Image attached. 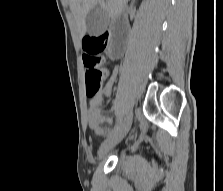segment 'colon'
<instances>
[{"label":"colon","mask_w":223,"mask_h":191,"mask_svg":"<svg viewBox=\"0 0 223 191\" xmlns=\"http://www.w3.org/2000/svg\"><path fill=\"white\" fill-rule=\"evenodd\" d=\"M109 36L106 33L87 35L83 39V63L86 68V95L96 96L110 71L103 65L102 52L106 48Z\"/></svg>","instance_id":"obj_1"}]
</instances>
